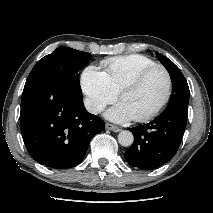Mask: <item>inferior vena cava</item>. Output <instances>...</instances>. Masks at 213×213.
<instances>
[{
	"instance_id": "inferior-vena-cava-1",
	"label": "inferior vena cava",
	"mask_w": 213,
	"mask_h": 213,
	"mask_svg": "<svg viewBox=\"0 0 213 213\" xmlns=\"http://www.w3.org/2000/svg\"><path fill=\"white\" fill-rule=\"evenodd\" d=\"M84 105H85V108L90 113H93V114H98V113H100L101 111L104 110V106L102 104L94 102V101L89 100V99L84 100Z\"/></svg>"
}]
</instances>
